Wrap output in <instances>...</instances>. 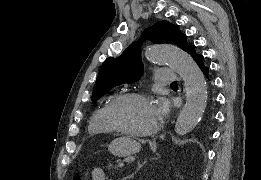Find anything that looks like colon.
Segmentation results:
<instances>
[{"label": "colon", "instance_id": "obj_1", "mask_svg": "<svg viewBox=\"0 0 261 180\" xmlns=\"http://www.w3.org/2000/svg\"><path fill=\"white\" fill-rule=\"evenodd\" d=\"M81 179H82L81 176H76V177L74 178V180H81Z\"/></svg>", "mask_w": 261, "mask_h": 180}]
</instances>
